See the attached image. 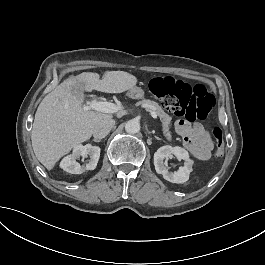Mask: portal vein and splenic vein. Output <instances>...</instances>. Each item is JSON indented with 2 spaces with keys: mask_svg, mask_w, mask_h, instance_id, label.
<instances>
[{
  "mask_svg": "<svg viewBox=\"0 0 265 265\" xmlns=\"http://www.w3.org/2000/svg\"><path fill=\"white\" fill-rule=\"evenodd\" d=\"M84 109L87 111L93 110L104 113H114L117 111V106L111 102L99 101L97 97H93L90 101L86 102ZM152 117L157 119V113L153 112Z\"/></svg>",
  "mask_w": 265,
  "mask_h": 265,
  "instance_id": "portal-vein-and-splenic-vein-1",
  "label": "portal vein and splenic vein"
}]
</instances>
